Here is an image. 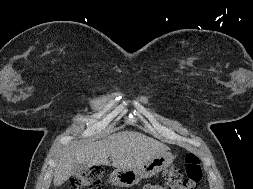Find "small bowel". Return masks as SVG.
<instances>
[{
    "instance_id": "1",
    "label": "small bowel",
    "mask_w": 253,
    "mask_h": 189,
    "mask_svg": "<svg viewBox=\"0 0 253 189\" xmlns=\"http://www.w3.org/2000/svg\"><path fill=\"white\" fill-rule=\"evenodd\" d=\"M145 189H166V188L159 185H148L145 187Z\"/></svg>"
}]
</instances>
